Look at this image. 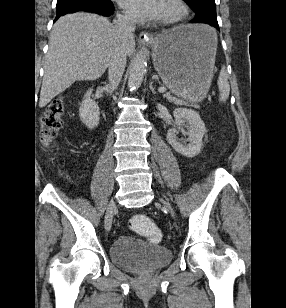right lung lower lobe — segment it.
<instances>
[{
	"instance_id": "98d812e1",
	"label": "right lung lower lobe",
	"mask_w": 286,
	"mask_h": 308,
	"mask_svg": "<svg viewBox=\"0 0 286 308\" xmlns=\"http://www.w3.org/2000/svg\"><path fill=\"white\" fill-rule=\"evenodd\" d=\"M78 11L93 12L103 16H110L113 14L114 6L111 3L109 4H100V3H73L69 5H64L57 8V15L54 22L62 15L67 13H74Z\"/></svg>"
}]
</instances>
